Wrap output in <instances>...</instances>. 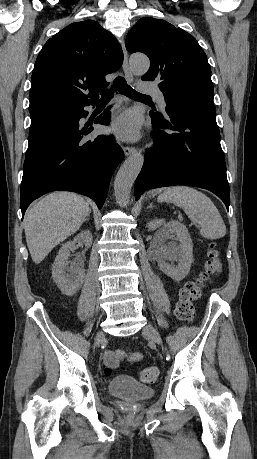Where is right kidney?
Segmentation results:
<instances>
[{
  "label": "right kidney",
  "instance_id": "ca27d5eb",
  "mask_svg": "<svg viewBox=\"0 0 257 459\" xmlns=\"http://www.w3.org/2000/svg\"><path fill=\"white\" fill-rule=\"evenodd\" d=\"M80 241L87 248L92 245L93 237L89 230L82 231L73 241L62 245L52 265V278L61 292L67 296L74 295L83 284L84 270L78 265L68 267L70 253L74 251L75 243Z\"/></svg>",
  "mask_w": 257,
  "mask_h": 459
}]
</instances>
